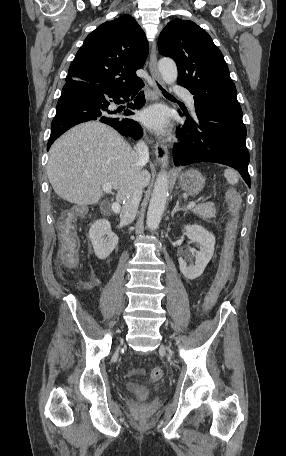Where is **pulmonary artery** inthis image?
<instances>
[{"mask_svg":"<svg viewBox=\"0 0 286 456\" xmlns=\"http://www.w3.org/2000/svg\"><path fill=\"white\" fill-rule=\"evenodd\" d=\"M175 93L181 97H184L187 102H188V105L194 109V100L190 94V92L187 90V89H184V88H176L175 89Z\"/></svg>","mask_w":286,"mask_h":456,"instance_id":"pulmonary-artery-1","label":"pulmonary artery"}]
</instances>
